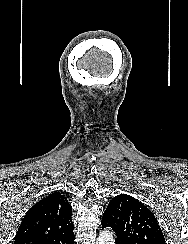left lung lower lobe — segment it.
I'll list each match as a JSON object with an SVG mask.
<instances>
[{
	"instance_id": "left-lung-lower-lobe-1",
	"label": "left lung lower lobe",
	"mask_w": 188,
	"mask_h": 244,
	"mask_svg": "<svg viewBox=\"0 0 188 244\" xmlns=\"http://www.w3.org/2000/svg\"><path fill=\"white\" fill-rule=\"evenodd\" d=\"M101 225H102L103 228H105V227H109L108 222L105 221V220H102Z\"/></svg>"
}]
</instances>
